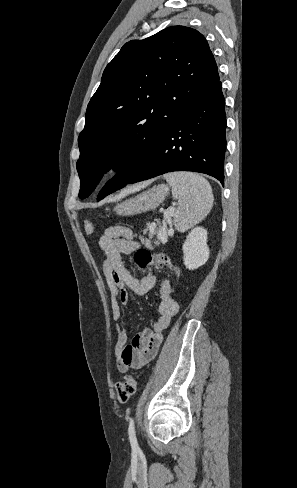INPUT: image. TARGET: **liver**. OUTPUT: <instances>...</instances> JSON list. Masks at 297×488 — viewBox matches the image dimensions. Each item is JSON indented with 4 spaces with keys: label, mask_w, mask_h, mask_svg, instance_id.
I'll use <instances>...</instances> for the list:
<instances>
[{
    "label": "liver",
    "mask_w": 297,
    "mask_h": 488,
    "mask_svg": "<svg viewBox=\"0 0 297 488\" xmlns=\"http://www.w3.org/2000/svg\"><path fill=\"white\" fill-rule=\"evenodd\" d=\"M147 184L148 183H143V184H140V185L131 187V188L125 190L124 192H122L120 195L116 196L115 198H120V197L124 196L125 194H128V193H130L132 191H135L137 189H141V188L145 187Z\"/></svg>",
    "instance_id": "liver-1"
}]
</instances>
